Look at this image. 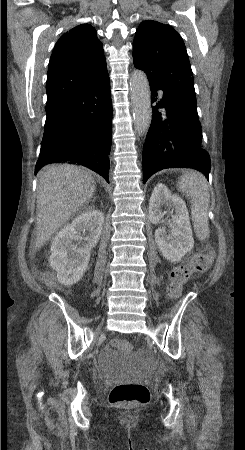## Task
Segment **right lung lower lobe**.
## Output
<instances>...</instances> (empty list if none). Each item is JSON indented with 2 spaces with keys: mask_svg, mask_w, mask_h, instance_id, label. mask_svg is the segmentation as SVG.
I'll list each match as a JSON object with an SVG mask.
<instances>
[{
  "mask_svg": "<svg viewBox=\"0 0 245 450\" xmlns=\"http://www.w3.org/2000/svg\"><path fill=\"white\" fill-rule=\"evenodd\" d=\"M46 115L35 174L46 164L73 163L109 182L112 102L108 72L46 108Z\"/></svg>",
  "mask_w": 245,
  "mask_h": 450,
  "instance_id": "98d812e1",
  "label": "right lung lower lobe"
}]
</instances>
